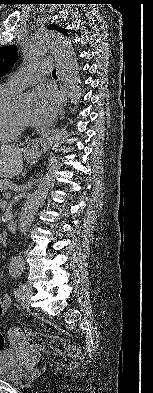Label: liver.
<instances>
[{"label":"liver","mask_w":153,"mask_h":393,"mask_svg":"<svg viewBox=\"0 0 153 393\" xmlns=\"http://www.w3.org/2000/svg\"><path fill=\"white\" fill-rule=\"evenodd\" d=\"M22 148L14 145L0 147V178H12L23 170Z\"/></svg>","instance_id":"1"}]
</instances>
